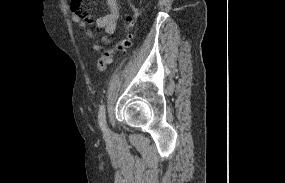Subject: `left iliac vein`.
I'll use <instances>...</instances> for the list:
<instances>
[{
    "label": "left iliac vein",
    "mask_w": 285,
    "mask_h": 183,
    "mask_svg": "<svg viewBox=\"0 0 285 183\" xmlns=\"http://www.w3.org/2000/svg\"><path fill=\"white\" fill-rule=\"evenodd\" d=\"M109 134H110V130L107 129V130H106V135H109Z\"/></svg>",
    "instance_id": "obj_1"
}]
</instances>
